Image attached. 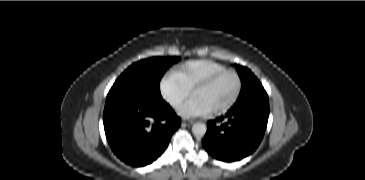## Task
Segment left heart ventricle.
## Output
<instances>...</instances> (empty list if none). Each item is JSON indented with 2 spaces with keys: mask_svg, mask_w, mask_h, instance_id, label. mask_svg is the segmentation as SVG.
Segmentation results:
<instances>
[{
  "mask_svg": "<svg viewBox=\"0 0 365 180\" xmlns=\"http://www.w3.org/2000/svg\"><path fill=\"white\" fill-rule=\"evenodd\" d=\"M237 88V79L233 74H227L217 82L198 92L195 98L209 110L218 108L227 103Z\"/></svg>",
  "mask_w": 365,
  "mask_h": 180,
  "instance_id": "left-heart-ventricle-1",
  "label": "left heart ventricle"
}]
</instances>
